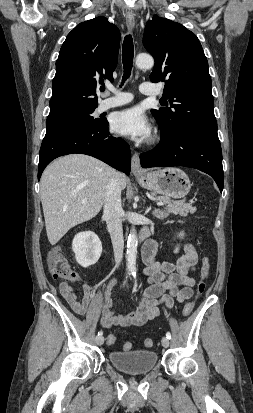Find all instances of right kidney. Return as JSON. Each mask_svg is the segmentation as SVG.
<instances>
[{
  "instance_id": "ca27d5eb",
  "label": "right kidney",
  "mask_w": 253,
  "mask_h": 413,
  "mask_svg": "<svg viewBox=\"0 0 253 413\" xmlns=\"http://www.w3.org/2000/svg\"><path fill=\"white\" fill-rule=\"evenodd\" d=\"M72 249L77 263L87 268L99 260L102 253V244L94 232L86 231L75 235Z\"/></svg>"
}]
</instances>
